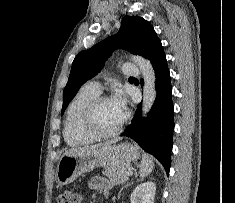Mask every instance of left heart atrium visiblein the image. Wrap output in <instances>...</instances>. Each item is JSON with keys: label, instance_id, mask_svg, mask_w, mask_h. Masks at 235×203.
<instances>
[{"label": "left heart atrium", "instance_id": "obj_1", "mask_svg": "<svg viewBox=\"0 0 235 203\" xmlns=\"http://www.w3.org/2000/svg\"><path fill=\"white\" fill-rule=\"evenodd\" d=\"M112 101L124 112H126V99L123 93L118 92L113 98Z\"/></svg>", "mask_w": 235, "mask_h": 203}]
</instances>
